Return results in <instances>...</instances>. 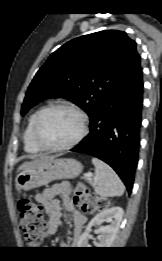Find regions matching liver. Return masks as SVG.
Here are the masks:
<instances>
[{
	"instance_id": "6515ba94",
	"label": "liver",
	"mask_w": 162,
	"mask_h": 261,
	"mask_svg": "<svg viewBox=\"0 0 162 261\" xmlns=\"http://www.w3.org/2000/svg\"><path fill=\"white\" fill-rule=\"evenodd\" d=\"M45 157L47 156H39V157H36L34 160L32 161H29V162H24L19 168L18 170H21V169H26V168H31L33 166H35L36 164H38L42 159H44Z\"/></svg>"
}]
</instances>
